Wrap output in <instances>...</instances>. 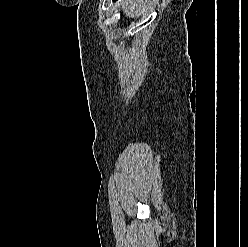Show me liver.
I'll return each mask as SVG.
<instances>
[{
  "instance_id": "1",
  "label": "liver",
  "mask_w": 248,
  "mask_h": 247,
  "mask_svg": "<svg viewBox=\"0 0 248 247\" xmlns=\"http://www.w3.org/2000/svg\"><path fill=\"white\" fill-rule=\"evenodd\" d=\"M146 4L145 0H122L119 5L122 7L123 14L133 18Z\"/></svg>"
}]
</instances>
